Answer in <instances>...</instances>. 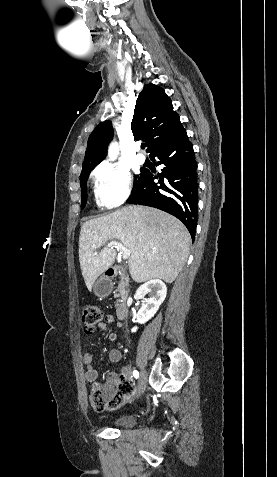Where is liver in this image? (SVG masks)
Segmentation results:
<instances>
[{"instance_id": "liver-1", "label": "liver", "mask_w": 277, "mask_h": 477, "mask_svg": "<svg viewBox=\"0 0 277 477\" xmlns=\"http://www.w3.org/2000/svg\"><path fill=\"white\" fill-rule=\"evenodd\" d=\"M109 240H119L131 251L129 272L137 283L156 278L172 283L186 264L191 244L180 220L151 207L126 206L86 221L79 236V262L89 291L115 261L116 250L103 247Z\"/></svg>"}]
</instances>
